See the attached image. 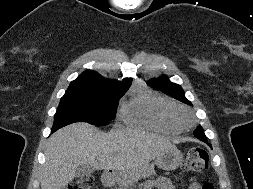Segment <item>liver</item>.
I'll return each instance as SVG.
<instances>
[{"label":"liver","mask_w":253,"mask_h":189,"mask_svg":"<svg viewBox=\"0 0 253 189\" xmlns=\"http://www.w3.org/2000/svg\"><path fill=\"white\" fill-rule=\"evenodd\" d=\"M175 148L166 138L135 129L103 133L93 125L74 123L48 140L40 175L41 189H63L75 177L76 168L118 170L133 185L146 174L147 166L165 150Z\"/></svg>","instance_id":"liver-1"}]
</instances>
